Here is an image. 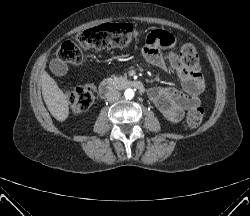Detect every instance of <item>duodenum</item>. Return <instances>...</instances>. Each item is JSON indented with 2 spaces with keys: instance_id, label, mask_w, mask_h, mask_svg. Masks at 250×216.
I'll return each instance as SVG.
<instances>
[{
  "instance_id": "410a0bca",
  "label": "duodenum",
  "mask_w": 250,
  "mask_h": 216,
  "mask_svg": "<svg viewBox=\"0 0 250 216\" xmlns=\"http://www.w3.org/2000/svg\"><path fill=\"white\" fill-rule=\"evenodd\" d=\"M125 88L144 90L143 84L139 81H133L126 78H110L100 84L99 93L102 98H106L113 90Z\"/></svg>"
}]
</instances>
